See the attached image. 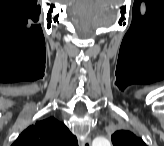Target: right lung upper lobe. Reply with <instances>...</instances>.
<instances>
[{
    "mask_svg": "<svg viewBox=\"0 0 164 146\" xmlns=\"http://www.w3.org/2000/svg\"><path fill=\"white\" fill-rule=\"evenodd\" d=\"M77 139L53 117L38 121L24 130L12 146H76Z\"/></svg>",
    "mask_w": 164,
    "mask_h": 146,
    "instance_id": "obj_1",
    "label": "right lung upper lobe"
}]
</instances>
